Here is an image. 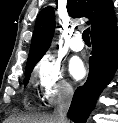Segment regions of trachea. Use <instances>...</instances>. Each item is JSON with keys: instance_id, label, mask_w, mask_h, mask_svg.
<instances>
[{"instance_id": "obj_1", "label": "trachea", "mask_w": 118, "mask_h": 123, "mask_svg": "<svg viewBox=\"0 0 118 123\" xmlns=\"http://www.w3.org/2000/svg\"><path fill=\"white\" fill-rule=\"evenodd\" d=\"M89 28L86 29L83 34H82V38L85 42H90V37H89Z\"/></svg>"}]
</instances>
